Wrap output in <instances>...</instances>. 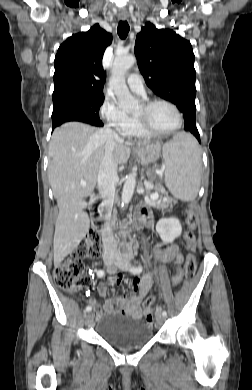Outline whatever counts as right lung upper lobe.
I'll use <instances>...</instances> for the list:
<instances>
[{"label":"right lung upper lobe","instance_id":"right-lung-upper-lobe-1","mask_svg":"<svg viewBox=\"0 0 252 390\" xmlns=\"http://www.w3.org/2000/svg\"><path fill=\"white\" fill-rule=\"evenodd\" d=\"M111 41L112 35L95 24L60 45L54 60L53 101L74 96L104 97L102 58Z\"/></svg>","mask_w":252,"mask_h":390}]
</instances>
